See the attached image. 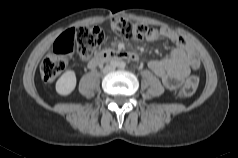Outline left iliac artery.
I'll list each match as a JSON object with an SVG mask.
<instances>
[{
    "label": "left iliac artery",
    "mask_w": 238,
    "mask_h": 158,
    "mask_svg": "<svg viewBox=\"0 0 238 158\" xmlns=\"http://www.w3.org/2000/svg\"><path fill=\"white\" fill-rule=\"evenodd\" d=\"M120 67L121 68H124L125 67V64L122 62V63H120Z\"/></svg>",
    "instance_id": "left-iliac-artery-1"
}]
</instances>
